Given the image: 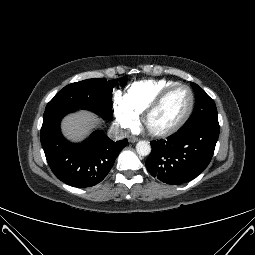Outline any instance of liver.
<instances>
[{"label": "liver", "instance_id": "liver-1", "mask_svg": "<svg viewBox=\"0 0 255 255\" xmlns=\"http://www.w3.org/2000/svg\"><path fill=\"white\" fill-rule=\"evenodd\" d=\"M97 124H100V119L96 115L89 111H79L66 116L61 128L67 139L79 142L86 138Z\"/></svg>", "mask_w": 255, "mask_h": 255}]
</instances>
